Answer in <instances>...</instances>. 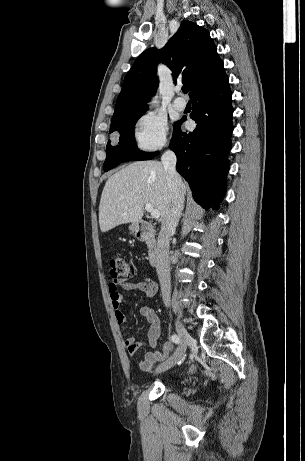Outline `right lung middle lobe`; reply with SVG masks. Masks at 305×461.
I'll return each instance as SVG.
<instances>
[{
	"label": "right lung middle lobe",
	"mask_w": 305,
	"mask_h": 461,
	"mask_svg": "<svg viewBox=\"0 0 305 461\" xmlns=\"http://www.w3.org/2000/svg\"><path fill=\"white\" fill-rule=\"evenodd\" d=\"M142 114L124 119L110 129V133L118 131L120 139L118 144H111V141L107 143L106 160L103 165L105 171L114 168L121 162L149 160L155 157L156 153L142 152L135 144L134 125Z\"/></svg>",
	"instance_id": "dd1d6c3e"
}]
</instances>
